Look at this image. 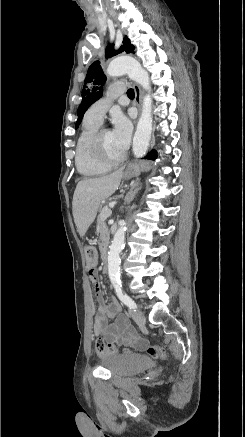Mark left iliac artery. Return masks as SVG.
<instances>
[{"mask_svg": "<svg viewBox=\"0 0 245 437\" xmlns=\"http://www.w3.org/2000/svg\"><path fill=\"white\" fill-rule=\"evenodd\" d=\"M113 286L118 298L130 309H135L136 303L126 293H124L121 282H114Z\"/></svg>", "mask_w": 245, "mask_h": 437, "instance_id": "obj_1", "label": "left iliac artery"}]
</instances>
